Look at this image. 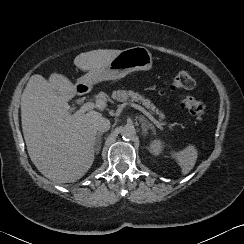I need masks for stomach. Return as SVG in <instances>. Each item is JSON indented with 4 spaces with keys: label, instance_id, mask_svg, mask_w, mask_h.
<instances>
[{
    "label": "stomach",
    "instance_id": "stomach-1",
    "mask_svg": "<svg viewBox=\"0 0 244 244\" xmlns=\"http://www.w3.org/2000/svg\"><path fill=\"white\" fill-rule=\"evenodd\" d=\"M153 66L150 51L143 46H135L119 51L98 71H90L92 84L104 80H116L134 71H147Z\"/></svg>",
    "mask_w": 244,
    "mask_h": 244
}]
</instances>
